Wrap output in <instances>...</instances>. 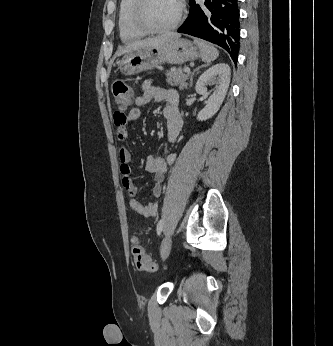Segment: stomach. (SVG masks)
<instances>
[{"mask_svg": "<svg viewBox=\"0 0 333 346\" xmlns=\"http://www.w3.org/2000/svg\"><path fill=\"white\" fill-rule=\"evenodd\" d=\"M199 47L187 39H175L165 44L126 53L118 62L124 75H135L151 70L163 63L182 64L200 57Z\"/></svg>", "mask_w": 333, "mask_h": 346, "instance_id": "1", "label": "stomach"}]
</instances>
